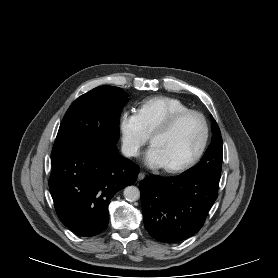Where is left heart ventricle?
<instances>
[{"label": "left heart ventricle", "instance_id": "obj_1", "mask_svg": "<svg viewBox=\"0 0 278 278\" xmlns=\"http://www.w3.org/2000/svg\"><path fill=\"white\" fill-rule=\"evenodd\" d=\"M203 136V127L196 116H188L168 133L154 137V145L165 166L179 164L190 158L198 149Z\"/></svg>", "mask_w": 278, "mask_h": 278}]
</instances>
